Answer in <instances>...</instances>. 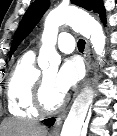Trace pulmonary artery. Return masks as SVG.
<instances>
[{"instance_id": "e3ab8cb5", "label": "pulmonary artery", "mask_w": 117, "mask_h": 136, "mask_svg": "<svg viewBox=\"0 0 117 136\" xmlns=\"http://www.w3.org/2000/svg\"><path fill=\"white\" fill-rule=\"evenodd\" d=\"M57 47L63 53H71L75 49L74 38L69 32H61L58 36Z\"/></svg>"}]
</instances>
